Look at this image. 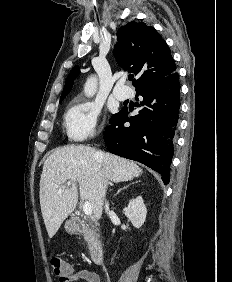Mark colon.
Returning a JSON list of instances; mask_svg holds the SVG:
<instances>
[{
  "label": "colon",
  "mask_w": 232,
  "mask_h": 282,
  "mask_svg": "<svg viewBox=\"0 0 232 282\" xmlns=\"http://www.w3.org/2000/svg\"><path fill=\"white\" fill-rule=\"evenodd\" d=\"M50 265L52 267L54 275L60 282H67L69 275L68 265L57 255L50 256Z\"/></svg>",
  "instance_id": "5ec220e1"
}]
</instances>
